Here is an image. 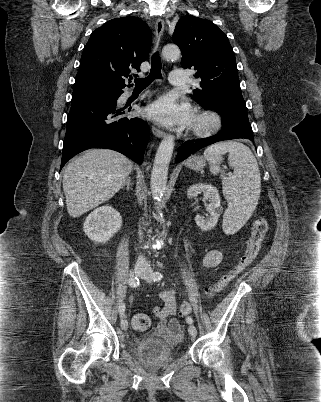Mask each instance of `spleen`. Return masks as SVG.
<instances>
[{"instance_id": "1", "label": "spleen", "mask_w": 321, "mask_h": 402, "mask_svg": "<svg viewBox=\"0 0 321 402\" xmlns=\"http://www.w3.org/2000/svg\"><path fill=\"white\" fill-rule=\"evenodd\" d=\"M228 153L229 166L233 173L226 177L219 164ZM204 157L210 164V172L221 173L223 195L228 202L223 218L226 234L237 232L250 218L261 192V177L258 163L251 150L237 141H223L209 146Z\"/></svg>"}]
</instances>
